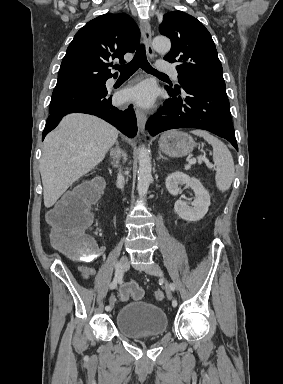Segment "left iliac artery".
<instances>
[{"instance_id": "left-iliac-artery-1", "label": "left iliac artery", "mask_w": 283, "mask_h": 384, "mask_svg": "<svg viewBox=\"0 0 283 384\" xmlns=\"http://www.w3.org/2000/svg\"><path fill=\"white\" fill-rule=\"evenodd\" d=\"M170 288H171V290L174 292L175 291V285L173 284V283H171L170 284ZM172 305L174 306V307H176L177 305H178V302H177V300L174 298L173 299V301H172Z\"/></svg>"}]
</instances>
